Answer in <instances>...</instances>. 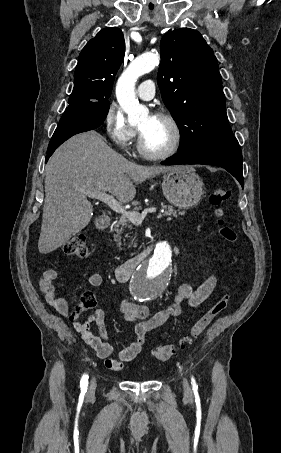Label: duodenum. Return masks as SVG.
Segmentation results:
<instances>
[{
    "label": "duodenum",
    "instance_id": "410a0bca",
    "mask_svg": "<svg viewBox=\"0 0 281 453\" xmlns=\"http://www.w3.org/2000/svg\"><path fill=\"white\" fill-rule=\"evenodd\" d=\"M111 220L108 217L100 218L96 223V230L99 233L105 232L110 226ZM152 248H147L135 257L118 265L115 269L116 279L120 282H126L136 271L137 267L150 255Z\"/></svg>",
    "mask_w": 281,
    "mask_h": 453
}]
</instances>
